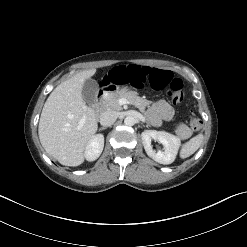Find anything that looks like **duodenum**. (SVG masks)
<instances>
[{
  "instance_id": "1",
  "label": "duodenum",
  "mask_w": 247,
  "mask_h": 247,
  "mask_svg": "<svg viewBox=\"0 0 247 247\" xmlns=\"http://www.w3.org/2000/svg\"><path fill=\"white\" fill-rule=\"evenodd\" d=\"M113 91V90H112ZM108 92H111V90H107L105 88L101 89L97 95V99H96V110L97 111H101L102 110V103L101 100L102 98L105 96V94H107Z\"/></svg>"
}]
</instances>
